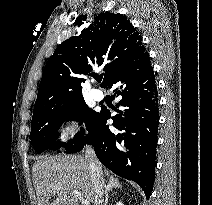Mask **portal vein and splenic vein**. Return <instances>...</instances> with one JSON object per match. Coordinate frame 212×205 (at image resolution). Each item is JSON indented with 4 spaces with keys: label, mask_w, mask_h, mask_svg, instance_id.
Here are the masks:
<instances>
[{
    "label": "portal vein and splenic vein",
    "mask_w": 212,
    "mask_h": 205,
    "mask_svg": "<svg viewBox=\"0 0 212 205\" xmlns=\"http://www.w3.org/2000/svg\"><path fill=\"white\" fill-rule=\"evenodd\" d=\"M60 188H61V185L56 187L57 190H59ZM73 193L75 194V197L81 202L82 205L90 204L89 200L84 199L78 191L73 190Z\"/></svg>",
    "instance_id": "18ae733b"
}]
</instances>
